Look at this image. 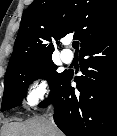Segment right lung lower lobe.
<instances>
[{"label": "right lung lower lobe", "instance_id": "obj_1", "mask_svg": "<svg viewBox=\"0 0 117 136\" xmlns=\"http://www.w3.org/2000/svg\"><path fill=\"white\" fill-rule=\"evenodd\" d=\"M82 75L66 72L40 105H55L54 121L67 136H117V27L80 50Z\"/></svg>", "mask_w": 117, "mask_h": 136}]
</instances>
